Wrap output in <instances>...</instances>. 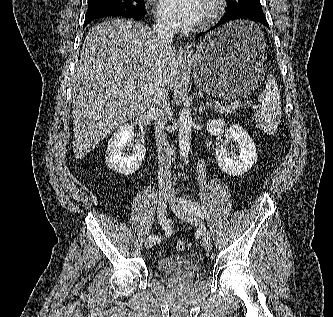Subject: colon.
Returning a JSON list of instances; mask_svg holds the SVG:
<instances>
[{"mask_svg":"<svg viewBox=\"0 0 333 317\" xmlns=\"http://www.w3.org/2000/svg\"><path fill=\"white\" fill-rule=\"evenodd\" d=\"M175 250L178 252H182L185 250V243L183 241H177L175 244Z\"/></svg>","mask_w":333,"mask_h":317,"instance_id":"obj_1","label":"colon"}]
</instances>
